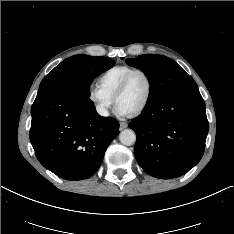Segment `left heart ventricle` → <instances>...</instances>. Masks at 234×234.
<instances>
[{"mask_svg":"<svg viewBox=\"0 0 234 234\" xmlns=\"http://www.w3.org/2000/svg\"><path fill=\"white\" fill-rule=\"evenodd\" d=\"M148 89L146 77L141 74H135L126 89V91L117 99V106L125 110L128 114L138 109L144 102Z\"/></svg>","mask_w":234,"mask_h":234,"instance_id":"left-heart-ventricle-1","label":"left heart ventricle"}]
</instances>
